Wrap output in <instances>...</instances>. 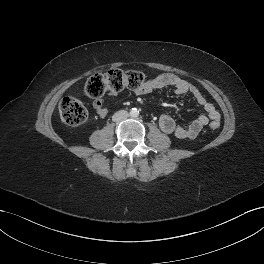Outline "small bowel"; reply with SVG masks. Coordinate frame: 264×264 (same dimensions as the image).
Here are the masks:
<instances>
[{
  "label": "small bowel",
  "mask_w": 264,
  "mask_h": 264,
  "mask_svg": "<svg viewBox=\"0 0 264 264\" xmlns=\"http://www.w3.org/2000/svg\"><path fill=\"white\" fill-rule=\"evenodd\" d=\"M164 87H172L174 92L178 95L190 94L197 101V103L204 109L206 115L197 117L189 126L183 127L177 125L174 119L163 114L159 118V126L164 133L173 134L179 139H194L198 136L201 130L209 124L211 121H218L220 113L216 107L209 102L200 90L173 73H163L147 80L141 88L136 90L137 95H145L152 92L155 89ZM93 107L99 117H106L108 109L104 105V101L101 98H97L93 101Z\"/></svg>",
  "instance_id": "1"
}]
</instances>
